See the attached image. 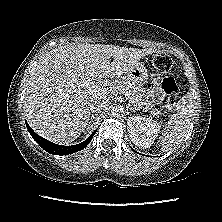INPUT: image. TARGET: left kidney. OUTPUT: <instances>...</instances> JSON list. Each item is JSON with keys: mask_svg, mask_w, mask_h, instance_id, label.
Wrapping results in <instances>:
<instances>
[{"mask_svg": "<svg viewBox=\"0 0 222 222\" xmlns=\"http://www.w3.org/2000/svg\"><path fill=\"white\" fill-rule=\"evenodd\" d=\"M159 122L141 116H132L127 120V130L131 141L139 148H149L160 132Z\"/></svg>", "mask_w": 222, "mask_h": 222, "instance_id": "left-kidney-1", "label": "left kidney"}]
</instances>
